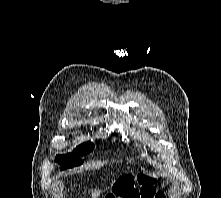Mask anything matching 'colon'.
Returning a JSON list of instances; mask_svg holds the SVG:
<instances>
[{
	"mask_svg": "<svg viewBox=\"0 0 221 198\" xmlns=\"http://www.w3.org/2000/svg\"><path fill=\"white\" fill-rule=\"evenodd\" d=\"M105 198H165V193L156 188L155 180L150 176H124L117 180L113 191Z\"/></svg>",
	"mask_w": 221,
	"mask_h": 198,
	"instance_id": "colon-1",
	"label": "colon"
}]
</instances>
